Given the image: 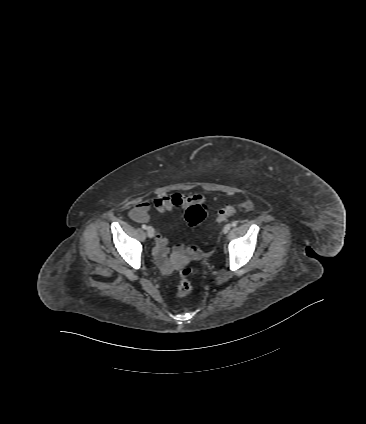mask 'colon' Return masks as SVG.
Instances as JSON below:
<instances>
[{"instance_id":"obj_1","label":"colon","mask_w":366,"mask_h":424,"mask_svg":"<svg viewBox=\"0 0 366 424\" xmlns=\"http://www.w3.org/2000/svg\"><path fill=\"white\" fill-rule=\"evenodd\" d=\"M207 212H208V209L204 203L194 204L186 209L185 219L190 226H195L201 223L205 219ZM235 212H236L235 206L233 205L226 206L218 211L216 221L222 222L226 220L228 217L235 214ZM189 254L192 257L197 258L200 256V251L196 247H191L189 249ZM192 270L193 269L190 266L184 267L181 270L180 272L181 278L176 286V295L178 297L187 296L192 292L193 287L191 283L189 282V280L187 279V276L192 272Z\"/></svg>"}]
</instances>
